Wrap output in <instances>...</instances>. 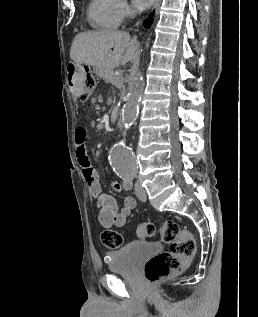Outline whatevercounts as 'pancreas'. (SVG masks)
Wrapping results in <instances>:
<instances>
[{
  "label": "pancreas",
  "instance_id": "1",
  "mask_svg": "<svg viewBox=\"0 0 258 317\" xmlns=\"http://www.w3.org/2000/svg\"><path fill=\"white\" fill-rule=\"evenodd\" d=\"M109 82L112 84L113 87H115V92H120V90L122 89V84L120 83V78L111 77L109 79Z\"/></svg>",
  "mask_w": 258,
  "mask_h": 317
}]
</instances>
